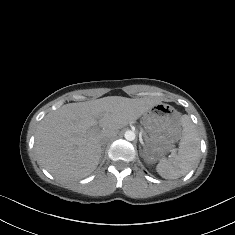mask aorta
I'll return each mask as SVG.
<instances>
[{
  "instance_id": "1",
  "label": "aorta",
  "mask_w": 235,
  "mask_h": 235,
  "mask_svg": "<svg viewBox=\"0 0 235 235\" xmlns=\"http://www.w3.org/2000/svg\"><path fill=\"white\" fill-rule=\"evenodd\" d=\"M136 138V133L134 131H126L125 132V139L128 141H134Z\"/></svg>"
}]
</instances>
